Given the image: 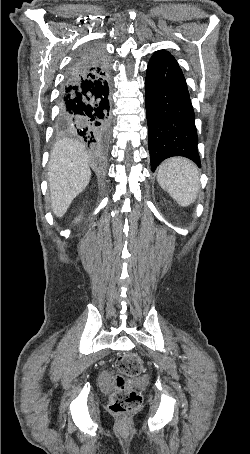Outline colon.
Returning a JSON list of instances; mask_svg holds the SVG:
<instances>
[{"mask_svg":"<svg viewBox=\"0 0 250 454\" xmlns=\"http://www.w3.org/2000/svg\"><path fill=\"white\" fill-rule=\"evenodd\" d=\"M115 367V390L110 397L109 410L115 415H125L142 402V395L130 386L129 380L143 372L144 363L138 354L127 352L117 358Z\"/></svg>","mask_w":250,"mask_h":454,"instance_id":"5ec220e1","label":"colon"}]
</instances>
